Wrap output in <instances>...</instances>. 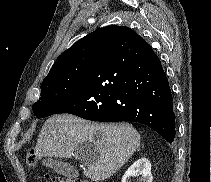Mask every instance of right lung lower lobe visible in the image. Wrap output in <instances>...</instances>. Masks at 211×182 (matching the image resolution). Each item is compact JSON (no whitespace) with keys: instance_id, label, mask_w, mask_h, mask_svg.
Returning a JSON list of instances; mask_svg holds the SVG:
<instances>
[{"instance_id":"1","label":"right lung lower lobe","mask_w":211,"mask_h":182,"mask_svg":"<svg viewBox=\"0 0 211 182\" xmlns=\"http://www.w3.org/2000/svg\"><path fill=\"white\" fill-rule=\"evenodd\" d=\"M99 122L145 124L167 142L175 137V113L168 79L144 40L133 43L124 27H103L85 80L55 114Z\"/></svg>"}]
</instances>
